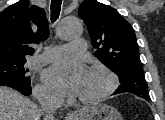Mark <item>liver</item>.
Masks as SVG:
<instances>
[{
    "mask_svg": "<svg viewBox=\"0 0 165 120\" xmlns=\"http://www.w3.org/2000/svg\"><path fill=\"white\" fill-rule=\"evenodd\" d=\"M41 110L28 98L0 86V120H40Z\"/></svg>",
    "mask_w": 165,
    "mask_h": 120,
    "instance_id": "liver-1",
    "label": "liver"
}]
</instances>
